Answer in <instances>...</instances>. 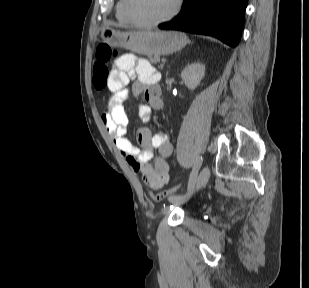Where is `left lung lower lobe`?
I'll use <instances>...</instances> for the list:
<instances>
[{
	"label": "left lung lower lobe",
	"instance_id": "obj_1",
	"mask_svg": "<svg viewBox=\"0 0 309 288\" xmlns=\"http://www.w3.org/2000/svg\"><path fill=\"white\" fill-rule=\"evenodd\" d=\"M248 0H183L181 13L158 25L163 30H181L213 36L235 47L241 39Z\"/></svg>",
	"mask_w": 309,
	"mask_h": 288
}]
</instances>
